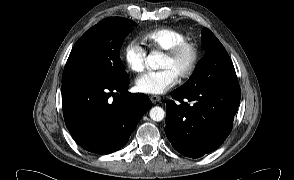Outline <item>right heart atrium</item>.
Returning <instances> with one entry per match:
<instances>
[{"mask_svg":"<svg viewBox=\"0 0 294 180\" xmlns=\"http://www.w3.org/2000/svg\"><path fill=\"white\" fill-rule=\"evenodd\" d=\"M128 69L134 73H140L145 68L146 51L135 39L127 42L121 52Z\"/></svg>","mask_w":294,"mask_h":180,"instance_id":"right-heart-atrium-1","label":"right heart atrium"}]
</instances>
